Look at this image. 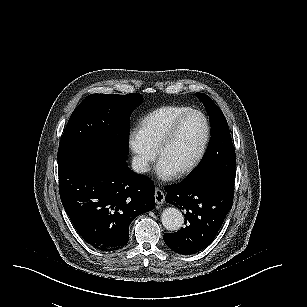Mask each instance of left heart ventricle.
<instances>
[{
    "label": "left heart ventricle",
    "mask_w": 307,
    "mask_h": 307,
    "mask_svg": "<svg viewBox=\"0 0 307 307\" xmlns=\"http://www.w3.org/2000/svg\"><path fill=\"white\" fill-rule=\"evenodd\" d=\"M197 118L190 116L182 121L173 144L166 146L165 158L169 163L188 165L196 155L202 139V129Z\"/></svg>",
    "instance_id": "left-heart-ventricle-1"
}]
</instances>
